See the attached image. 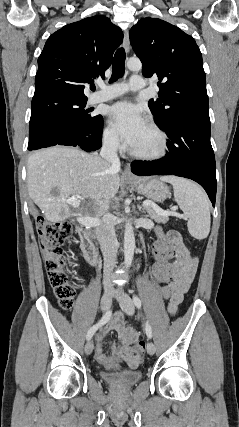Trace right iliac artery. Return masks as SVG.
Segmentation results:
<instances>
[{"instance_id": "right-iliac-artery-1", "label": "right iliac artery", "mask_w": 239, "mask_h": 427, "mask_svg": "<svg viewBox=\"0 0 239 427\" xmlns=\"http://www.w3.org/2000/svg\"><path fill=\"white\" fill-rule=\"evenodd\" d=\"M111 315H112V311H111V310H108V311L103 315V317L101 318V320H100L97 324H95L94 326H92V327L88 330V332H87V336H86L87 340H90V339L92 338V336L94 335V333L97 331V329H98V328H100V327H102L105 323H107V322L110 320Z\"/></svg>"}]
</instances>
